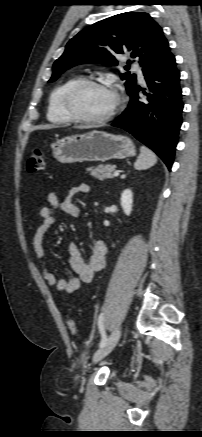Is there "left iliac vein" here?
I'll return each instance as SVG.
<instances>
[{"instance_id": "1", "label": "left iliac vein", "mask_w": 202, "mask_h": 437, "mask_svg": "<svg viewBox=\"0 0 202 437\" xmlns=\"http://www.w3.org/2000/svg\"><path fill=\"white\" fill-rule=\"evenodd\" d=\"M121 336V328H116L107 339L105 345L98 349L93 355V362L97 363L106 357L116 346Z\"/></svg>"}]
</instances>
